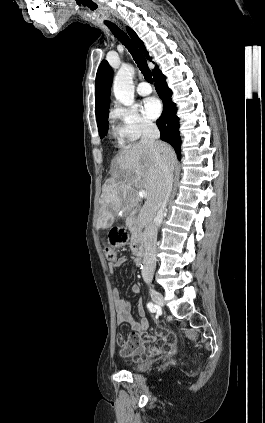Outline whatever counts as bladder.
Wrapping results in <instances>:
<instances>
[{
  "label": "bladder",
  "instance_id": "1",
  "mask_svg": "<svg viewBox=\"0 0 265 423\" xmlns=\"http://www.w3.org/2000/svg\"><path fill=\"white\" fill-rule=\"evenodd\" d=\"M153 362H154L153 360H144L143 359L142 361L138 362L134 366V369L136 371H144V370H147V369H149L152 366Z\"/></svg>",
  "mask_w": 265,
  "mask_h": 423
}]
</instances>
